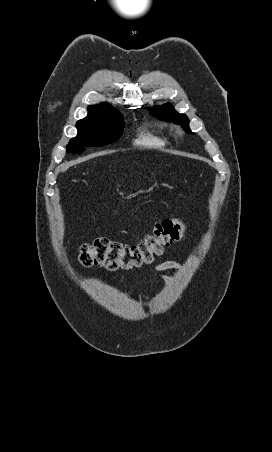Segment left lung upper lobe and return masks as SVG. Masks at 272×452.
<instances>
[{
  "mask_svg": "<svg viewBox=\"0 0 272 452\" xmlns=\"http://www.w3.org/2000/svg\"><path fill=\"white\" fill-rule=\"evenodd\" d=\"M151 114L161 120L169 122L173 121L174 123L180 124L187 132H191L187 116L177 113L171 104L153 107L151 109Z\"/></svg>",
  "mask_w": 272,
  "mask_h": 452,
  "instance_id": "1",
  "label": "left lung upper lobe"
}]
</instances>
